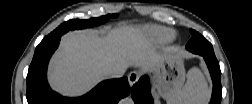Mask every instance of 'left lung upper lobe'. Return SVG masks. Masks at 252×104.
Wrapping results in <instances>:
<instances>
[{
    "instance_id": "1",
    "label": "left lung upper lobe",
    "mask_w": 252,
    "mask_h": 104,
    "mask_svg": "<svg viewBox=\"0 0 252 104\" xmlns=\"http://www.w3.org/2000/svg\"><path fill=\"white\" fill-rule=\"evenodd\" d=\"M191 40L187 44V50L199 55H215L213 47L201 34L195 30H190Z\"/></svg>"
}]
</instances>
